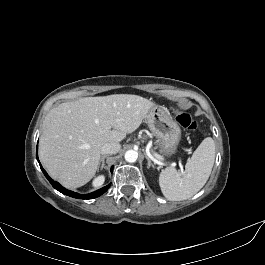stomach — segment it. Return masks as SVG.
I'll list each match as a JSON object with an SVG mask.
<instances>
[{"mask_svg":"<svg viewBox=\"0 0 265 265\" xmlns=\"http://www.w3.org/2000/svg\"><path fill=\"white\" fill-rule=\"evenodd\" d=\"M145 122L152 134L157 138V147L166 157H171L177 149L181 138V129L169 112L161 107L154 106L145 117Z\"/></svg>","mask_w":265,"mask_h":265,"instance_id":"0dacf381","label":"stomach"}]
</instances>
